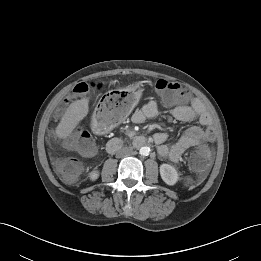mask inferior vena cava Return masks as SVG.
Masks as SVG:
<instances>
[{
	"mask_svg": "<svg viewBox=\"0 0 261 261\" xmlns=\"http://www.w3.org/2000/svg\"><path fill=\"white\" fill-rule=\"evenodd\" d=\"M133 152V147H123L117 152L118 157L128 156Z\"/></svg>",
	"mask_w": 261,
	"mask_h": 261,
	"instance_id": "1",
	"label": "inferior vena cava"
}]
</instances>
